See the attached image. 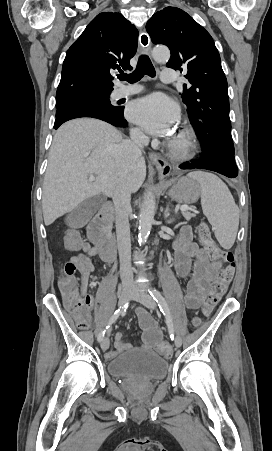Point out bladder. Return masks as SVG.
Wrapping results in <instances>:
<instances>
[{
    "label": "bladder",
    "instance_id": "bladder-1",
    "mask_svg": "<svg viewBox=\"0 0 272 451\" xmlns=\"http://www.w3.org/2000/svg\"><path fill=\"white\" fill-rule=\"evenodd\" d=\"M106 371L110 376L119 379L157 380L163 379L168 372V361L156 352H129L117 355L109 361Z\"/></svg>",
    "mask_w": 272,
    "mask_h": 451
}]
</instances>
